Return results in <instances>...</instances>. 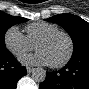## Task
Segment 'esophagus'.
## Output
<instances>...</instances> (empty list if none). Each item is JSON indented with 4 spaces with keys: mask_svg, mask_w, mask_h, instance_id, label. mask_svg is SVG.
Listing matches in <instances>:
<instances>
[{
    "mask_svg": "<svg viewBox=\"0 0 89 89\" xmlns=\"http://www.w3.org/2000/svg\"><path fill=\"white\" fill-rule=\"evenodd\" d=\"M34 71V68L33 67H27V72L28 73H31V72H33Z\"/></svg>",
    "mask_w": 89,
    "mask_h": 89,
    "instance_id": "1",
    "label": "esophagus"
}]
</instances>
